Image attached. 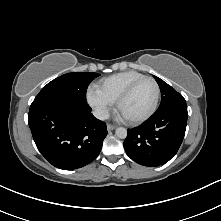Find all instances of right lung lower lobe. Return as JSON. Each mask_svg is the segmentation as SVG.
<instances>
[{
    "label": "right lung lower lobe",
    "instance_id": "right-lung-lower-lobe-1",
    "mask_svg": "<svg viewBox=\"0 0 221 221\" xmlns=\"http://www.w3.org/2000/svg\"><path fill=\"white\" fill-rule=\"evenodd\" d=\"M28 124L45 159L57 168L73 170L91 163L107 135L86 101L49 100L30 107Z\"/></svg>",
    "mask_w": 221,
    "mask_h": 221
}]
</instances>
